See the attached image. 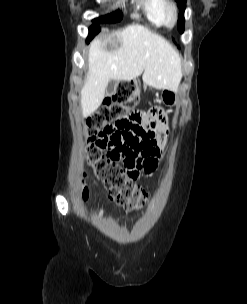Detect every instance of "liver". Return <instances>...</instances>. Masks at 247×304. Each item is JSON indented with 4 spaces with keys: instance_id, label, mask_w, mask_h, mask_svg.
Masks as SVG:
<instances>
[{
    "instance_id": "obj_1",
    "label": "liver",
    "mask_w": 247,
    "mask_h": 304,
    "mask_svg": "<svg viewBox=\"0 0 247 304\" xmlns=\"http://www.w3.org/2000/svg\"><path fill=\"white\" fill-rule=\"evenodd\" d=\"M142 73L146 85L177 91L182 78L179 53L162 36L138 24L104 40L97 36L89 47L88 72L81 90L83 117L101 105L110 80H132Z\"/></svg>"
}]
</instances>
